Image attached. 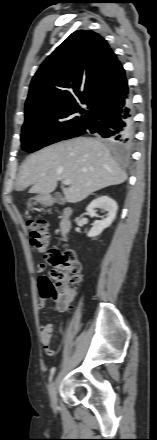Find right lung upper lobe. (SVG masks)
I'll return each instance as SVG.
<instances>
[{
  "mask_svg": "<svg viewBox=\"0 0 157 440\" xmlns=\"http://www.w3.org/2000/svg\"><path fill=\"white\" fill-rule=\"evenodd\" d=\"M129 97L117 56L99 34L72 33L42 63L25 104V122L85 125L95 114Z\"/></svg>",
  "mask_w": 157,
  "mask_h": 440,
  "instance_id": "right-lung-upper-lobe-1",
  "label": "right lung upper lobe"
}]
</instances>
